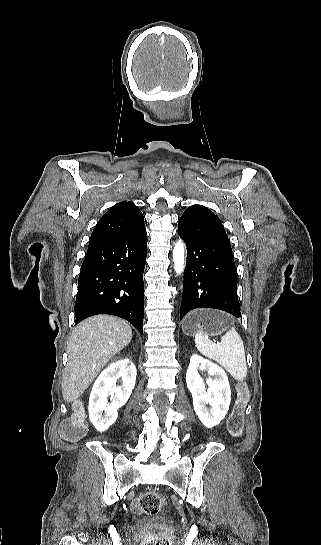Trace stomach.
I'll return each mask as SVG.
<instances>
[{
  "label": "stomach",
  "mask_w": 321,
  "mask_h": 545,
  "mask_svg": "<svg viewBox=\"0 0 321 545\" xmlns=\"http://www.w3.org/2000/svg\"><path fill=\"white\" fill-rule=\"evenodd\" d=\"M231 317L221 313V311H212V309H197L192 311L184 321H182V331L185 335H195L197 331L205 335H221L231 325Z\"/></svg>",
  "instance_id": "1"
}]
</instances>
